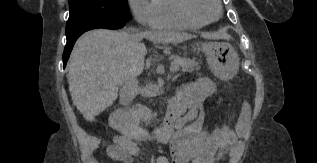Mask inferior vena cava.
Here are the masks:
<instances>
[{
    "mask_svg": "<svg viewBox=\"0 0 317 163\" xmlns=\"http://www.w3.org/2000/svg\"><path fill=\"white\" fill-rule=\"evenodd\" d=\"M136 91L137 80L135 78L127 79L120 90V103L127 105L135 97Z\"/></svg>",
    "mask_w": 317,
    "mask_h": 163,
    "instance_id": "obj_1",
    "label": "inferior vena cava"
}]
</instances>
